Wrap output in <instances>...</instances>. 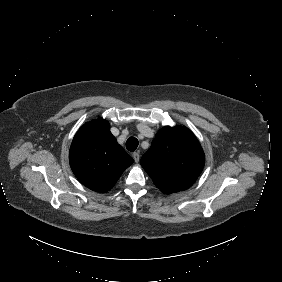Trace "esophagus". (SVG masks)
Returning a JSON list of instances; mask_svg holds the SVG:
<instances>
[{"instance_id":"esophagus-1","label":"esophagus","mask_w":282,"mask_h":282,"mask_svg":"<svg viewBox=\"0 0 282 282\" xmlns=\"http://www.w3.org/2000/svg\"><path fill=\"white\" fill-rule=\"evenodd\" d=\"M133 158H134V161L136 163H138L139 162V158H140L139 153L138 152H134L133 153Z\"/></svg>"}]
</instances>
